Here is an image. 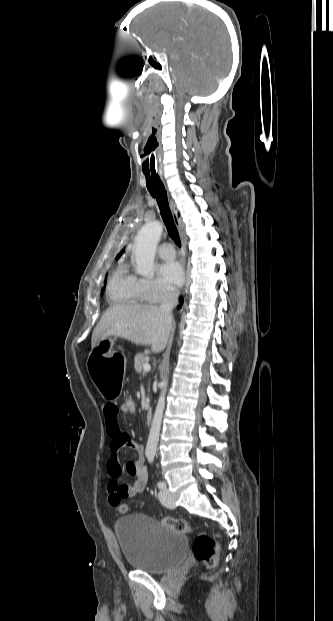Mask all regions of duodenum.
Segmentation results:
<instances>
[{"instance_id":"410a0bca","label":"duodenum","mask_w":333,"mask_h":621,"mask_svg":"<svg viewBox=\"0 0 333 621\" xmlns=\"http://www.w3.org/2000/svg\"><path fill=\"white\" fill-rule=\"evenodd\" d=\"M153 412L151 409H148L146 412V421L149 424L152 421Z\"/></svg>"}]
</instances>
